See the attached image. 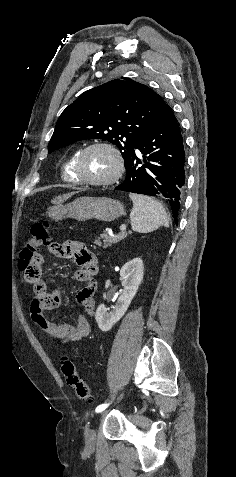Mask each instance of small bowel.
Returning <instances> with one entry per match:
<instances>
[{"instance_id":"c3829d8e","label":"small bowel","mask_w":236,"mask_h":477,"mask_svg":"<svg viewBox=\"0 0 236 477\" xmlns=\"http://www.w3.org/2000/svg\"><path fill=\"white\" fill-rule=\"evenodd\" d=\"M50 252L62 259H74L77 269L74 276L76 281L84 286L76 293L75 302L87 314L94 312V295L97 284L93 279L98 267L96 256L78 241L68 240L63 243H52ZM42 289L35 293V297L30 303V313L35 325L50 335L62 341L75 342L87 337L91 332V326L84 314L78 313L73 322L57 324L49 319L45 312L57 308L63 303V286H59L52 291L48 290V284L41 281Z\"/></svg>"}]
</instances>
